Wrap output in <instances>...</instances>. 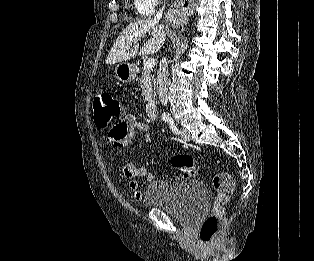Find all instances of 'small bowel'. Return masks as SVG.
<instances>
[{
    "label": "small bowel",
    "mask_w": 314,
    "mask_h": 261,
    "mask_svg": "<svg viewBox=\"0 0 314 261\" xmlns=\"http://www.w3.org/2000/svg\"><path fill=\"white\" fill-rule=\"evenodd\" d=\"M121 127L125 129L112 128L109 133H105V140H110L117 147H126L133 135L138 132L144 137L147 144L152 142L149 127L138 121L132 114L125 118L121 123ZM122 173L128 179V187L133 194L134 200L140 201L143 198V192L139 189L138 179H151L153 172L148 167L137 166L129 161L122 166Z\"/></svg>",
    "instance_id": "c3829d8e"
}]
</instances>
